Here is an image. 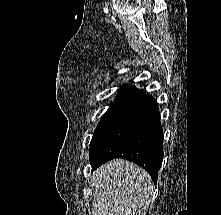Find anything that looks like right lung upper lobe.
<instances>
[{"mask_svg":"<svg viewBox=\"0 0 221 215\" xmlns=\"http://www.w3.org/2000/svg\"><path fill=\"white\" fill-rule=\"evenodd\" d=\"M144 95V92L133 87V86H123L120 91L116 101H133L138 97Z\"/></svg>","mask_w":221,"mask_h":215,"instance_id":"obj_1","label":"right lung upper lobe"}]
</instances>
